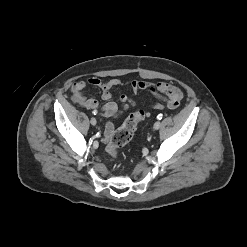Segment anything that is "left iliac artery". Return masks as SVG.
<instances>
[{"instance_id": "left-iliac-artery-1", "label": "left iliac artery", "mask_w": 247, "mask_h": 247, "mask_svg": "<svg viewBox=\"0 0 247 247\" xmlns=\"http://www.w3.org/2000/svg\"><path fill=\"white\" fill-rule=\"evenodd\" d=\"M163 118V115L162 114H159L158 116H157V119L158 120H161Z\"/></svg>"}]
</instances>
